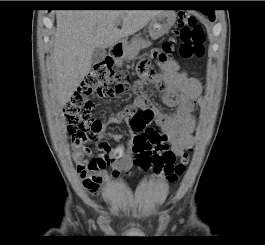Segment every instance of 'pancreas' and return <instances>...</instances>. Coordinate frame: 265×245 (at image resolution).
<instances>
[{"instance_id": "1", "label": "pancreas", "mask_w": 265, "mask_h": 245, "mask_svg": "<svg viewBox=\"0 0 265 245\" xmlns=\"http://www.w3.org/2000/svg\"><path fill=\"white\" fill-rule=\"evenodd\" d=\"M150 44L151 43L148 41L147 42H132L126 48L125 58L134 59L138 55L141 48H146V47L150 46ZM116 65L121 66L122 60H117Z\"/></svg>"}]
</instances>
